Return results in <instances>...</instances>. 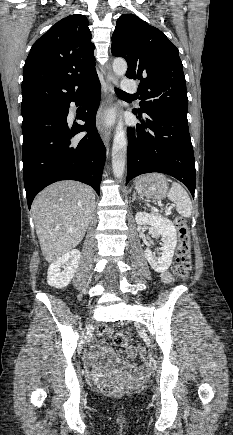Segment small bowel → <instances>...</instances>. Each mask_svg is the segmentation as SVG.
<instances>
[{
	"mask_svg": "<svg viewBox=\"0 0 233 435\" xmlns=\"http://www.w3.org/2000/svg\"><path fill=\"white\" fill-rule=\"evenodd\" d=\"M162 281L165 284H168L171 281V274L168 271H165L162 274ZM123 349L130 358L136 357L137 350L135 347L125 344ZM98 359L111 360L112 362L110 365L102 366L100 363H98ZM92 370L95 373V377H101L112 370H136L139 373H144L147 370V367L144 364L130 365L125 362L118 361L115 359L113 351L110 348L103 344H99L97 350L94 352Z\"/></svg>",
	"mask_w": 233,
	"mask_h": 435,
	"instance_id": "small-bowel-1",
	"label": "small bowel"
}]
</instances>
